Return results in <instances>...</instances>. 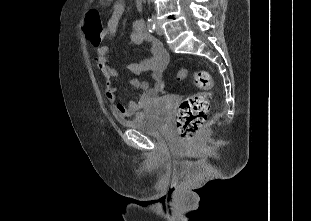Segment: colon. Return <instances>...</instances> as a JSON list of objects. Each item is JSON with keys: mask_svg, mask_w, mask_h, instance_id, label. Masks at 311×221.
I'll use <instances>...</instances> for the list:
<instances>
[{"mask_svg": "<svg viewBox=\"0 0 311 221\" xmlns=\"http://www.w3.org/2000/svg\"><path fill=\"white\" fill-rule=\"evenodd\" d=\"M99 15L98 10L88 9L86 11V25L83 27L84 39H89L95 48L100 46L104 30V26L99 22ZM186 77V70L179 72V80H184ZM194 83L196 88L202 90L203 93L189 95L183 98L179 104L175 126L180 135V141H193V136L203 125L211 110L210 97L206 94L213 87L210 74L206 71L196 70Z\"/></svg>", "mask_w": 311, "mask_h": 221, "instance_id": "1", "label": "colon"}]
</instances>
